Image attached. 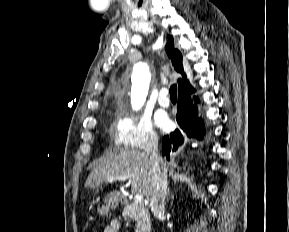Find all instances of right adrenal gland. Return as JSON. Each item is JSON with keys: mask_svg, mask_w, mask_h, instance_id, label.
<instances>
[{"mask_svg": "<svg viewBox=\"0 0 289 232\" xmlns=\"http://www.w3.org/2000/svg\"><path fill=\"white\" fill-rule=\"evenodd\" d=\"M168 197H170V191H169V189H168Z\"/></svg>", "mask_w": 289, "mask_h": 232, "instance_id": "right-adrenal-gland-1", "label": "right adrenal gland"}]
</instances>
